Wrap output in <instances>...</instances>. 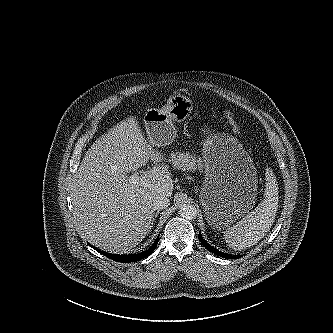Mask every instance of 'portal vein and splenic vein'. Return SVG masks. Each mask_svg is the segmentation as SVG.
Listing matches in <instances>:
<instances>
[{
  "label": "portal vein and splenic vein",
  "mask_w": 333,
  "mask_h": 333,
  "mask_svg": "<svg viewBox=\"0 0 333 333\" xmlns=\"http://www.w3.org/2000/svg\"><path fill=\"white\" fill-rule=\"evenodd\" d=\"M129 180L131 181V183L136 184L137 181L139 180V176H137L136 174H133L130 176Z\"/></svg>",
  "instance_id": "portal-vein-and-splenic-vein-1"
}]
</instances>
